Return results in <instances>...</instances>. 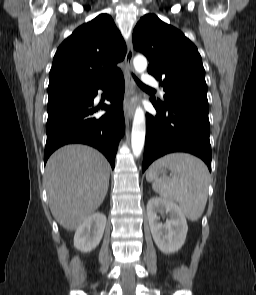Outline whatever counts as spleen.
<instances>
[{
	"instance_id": "obj_1",
	"label": "spleen",
	"mask_w": 256,
	"mask_h": 295,
	"mask_svg": "<svg viewBox=\"0 0 256 295\" xmlns=\"http://www.w3.org/2000/svg\"><path fill=\"white\" fill-rule=\"evenodd\" d=\"M162 167H168L174 176L159 177ZM146 178L162 198L178 202L189 220L201 217L207 202L209 171L199 158L185 153L168 154L150 166Z\"/></svg>"
}]
</instances>
